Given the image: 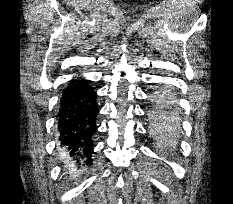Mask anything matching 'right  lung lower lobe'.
Returning a JSON list of instances; mask_svg holds the SVG:
<instances>
[{
    "label": "right lung lower lobe",
    "mask_w": 233,
    "mask_h": 204,
    "mask_svg": "<svg viewBox=\"0 0 233 204\" xmlns=\"http://www.w3.org/2000/svg\"><path fill=\"white\" fill-rule=\"evenodd\" d=\"M89 81L78 79L70 81L64 88L58 113L60 142L77 162L85 157L92 162V135L96 131V92L89 87Z\"/></svg>",
    "instance_id": "1"
}]
</instances>
